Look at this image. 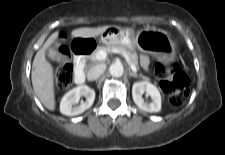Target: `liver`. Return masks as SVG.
Wrapping results in <instances>:
<instances>
[{
    "instance_id": "obj_1",
    "label": "liver",
    "mask_w": 225,
    "mask_h": 155,
    "mask_svg": "<svg viewBox=\"0 0 225 155\" xmlns=\"http://www.w3.org/2000/svg\"><path fill=\"white\" fill-rule=\"evenodd\" d=\"M110 26L97 28H78L72 31L75 38H92L101 35ZM60 32L53 33L36 53L31 72V80L34 92L40 102L48 110L54 111L56 107L54 91L53 67L45 58V51L59 37Z\"/></svg>"
}]
</instances>
